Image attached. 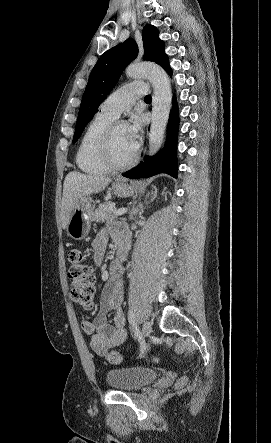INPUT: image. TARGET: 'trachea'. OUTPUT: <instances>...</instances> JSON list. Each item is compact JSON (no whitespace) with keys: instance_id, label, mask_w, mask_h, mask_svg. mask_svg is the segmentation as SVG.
<instances>
[{"instance_id":"trachea-1","label":"trachea","mask_w":271,"mask_h":443,"mask_svg":"<svg viewBox=\"0 0 271 443\" xmlns=\"http://www.w3.org/2000/svg\"><path fill=\"white\" fill-rule=\"evenodd\" d=\"M145 101H151L152 97L151 95H146V97L144 98Z\"/></svg>"}]
</instances>
